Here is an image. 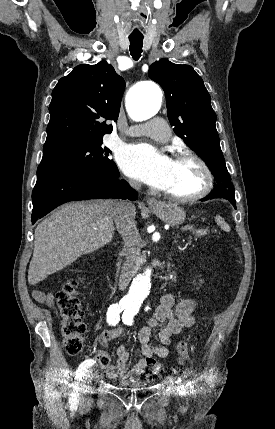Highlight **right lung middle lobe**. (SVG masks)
Masks as SVG:
<instances>
[{"label": "right lung middle lobe", "mask_w": 275, "mask_h": 429, "mask_svg": "<svg viewBox=\"0 0 275 429\" xmlns=\"http://www.w3.org/2000/svg\"><path fill=\"white\" fill-rule=\"evenodd\" d=\"M102 143L103 140L89 144H70L43 154L37 169L36 184L68 173H118L117 166L109 157L111 151L102 147Z\"/></svg>", "instance_id": "obj_1"}]
</instances>
